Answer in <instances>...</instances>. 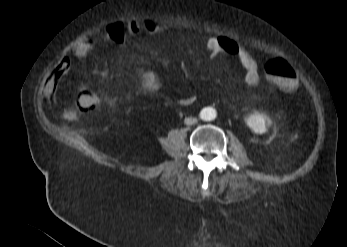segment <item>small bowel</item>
<instances>
[{
	"label": "small bowel",
	"mask_w": 347,
	"mask_h": 247,
	"mask_svg": "<svg viewBox=\"0 0 347 247\" xmlns=\"http://www.w3.org/2000/svg\"><path fill=\"white\" fill-rule=\"evenodd\" d=\"M161 31H163V28L153 21L131 20L128 21L125 25L119 22H114L107 25L103 29L101 37L118 45H122L124 44L128 35H139L142 32L157 34ZM96 44L97 39L95 38L81 40L76 42L72 46V52L76 57L82 58L87 56L94 49ZM205 47L208 50L209 55L213 58H218L226 55L234 57L244 68L245 72L243 75V82L245 86L248 88H254L258 85V63L256 59L250 54V52L235 39L225 35H210L205 40ZM69 69L70 62L67 58L63 59L56 65L45 83L44 92L48 97L53 98L55 96L59 81L68 72ZM141 82L143 87L150 91L160 90L165 85L163 79L154 72L145 73L141 77ZM81 91L90 90L83 86L79 88V92ZM195 100L196 97L194 95H188L181 98L179 100V104L182 106H190L194 104Z\"/></svg>",
	"instance_id": "1"
}]
</instances>
